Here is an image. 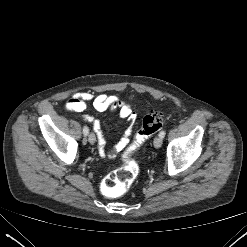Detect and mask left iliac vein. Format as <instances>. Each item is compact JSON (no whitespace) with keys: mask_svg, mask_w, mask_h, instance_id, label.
I'll return each instance as SVG.
<instances>
[{"mask_svg":"<svg viewBox=\"0 0 247 247\" xmlns=\"http://www.w3.org/2000/svg\"><path fill=\"white\" fill-rule=\"evenodd\" d=\"M162 138L160 136H157L155 139H154V146L155 148H160L162 146Z\"/></svg>","mask_w":247,"mask_h":247,"instance_id":"1","label":"left iliac vein"}]
</instances>
